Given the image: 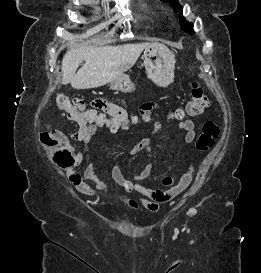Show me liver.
Instances as JSON below:
<instances>
[{
    "mask_svg": "<svg viewBox=\"0 0 261 273\" xmlns=\"http://www.w3.org/2000/svg\"><path fill=\"white\" fill-rule=\"evenodd\" d=\"M149 43L86 46L68 50L62 59V83L74 89H91L109 83L129 70ZM85 64L77 71L79 65Z\"/></svg>",
    "mask_w": 261,
    "mask_h": 273,
    "instance_id": "obj_1",
    "label": "liver"
}]
</instances>
